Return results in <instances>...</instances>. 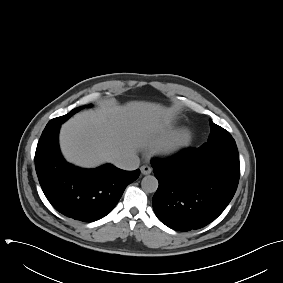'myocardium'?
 <instances>
[{
	"mask_svg": "<svg viewBox=\"0 0 283 283\" xmlns=\"http://www.w3.org/2000/svg\"><path fill=\"white\" fill-rule=\"evenodd\" d=\"M193 133L189 129H182L173 136L158 144L154 149V154L162 158H173L181 154L192 143Z\"/></svg>",
	"mask_w": 283,
	"mask_h": 283,
	"instance_id": "f54148a6",
	"label": "myocardium"
}]
</instances>
